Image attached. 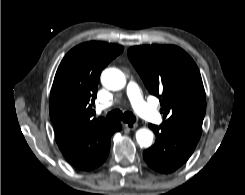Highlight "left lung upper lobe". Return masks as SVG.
<instances>
[{
	"label": "left lung upper lobe",
	"instance_id": "left-lung-upper-lobe-1",
	"mask_svg": "<svg viewBox=\"0 0 245 195\" xmlns=\"http://www.w3.org/2000/svg\"><path fill=\"white\" fill-rule=\"evenodd\" d=\"M128 57L148 91L159 97L165 118L161 125L200 137L206 96L193 59L174 45L134 46Z\"/></svg>",
	"mask_w": 245,
	"mask_h": 195
}]
</instances>
